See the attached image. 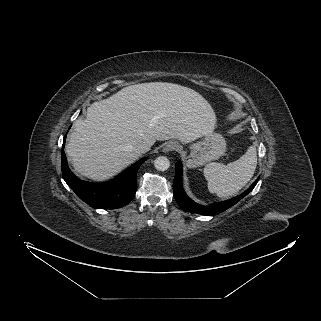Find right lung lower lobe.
Returning <instances> with one entry per match:
<instances>
[{
	"label": "right lung lower lobe",
	"instance_id": "98d812e1",
	"mask_svg": "<svg viewBox=\"0 0 321 321\" xmlns=\"http://www.w3.org/2000/svg\"><path fill=\"white\" fill-rule=\"evenodd\" d=\"M62 146V175L68 186L88 205L93 208L116 209L128 204L137 190L136 175L140 165L146 160L141 159L126 169L110 183L97 184L82 181L69 169Z\"/></svg>",
	"mask_w": 321,
	"mask_h": 321
}]
</instances>
